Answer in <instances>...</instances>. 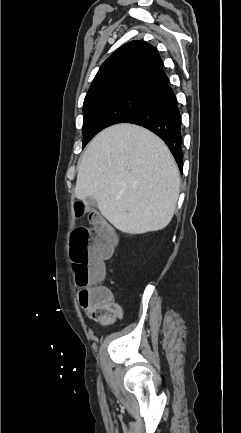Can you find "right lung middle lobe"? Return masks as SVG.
<instances>
[{"label":"right lung middle lobe","mask_w":241,"mask_h":433,"mask_svg":"<svg viewBox=\"0 0 241 433\" xmlns=\"http://www.w3.org/2000/svg\"><path fill=\"white\" fill-rule=\"evenodd\" d=\"M149 94L125 92L83 104V147L102 129L122 123L145 103Z\"/></svg>","instance_id":"right-lung-middle-lobe-1"}]
</instances>
